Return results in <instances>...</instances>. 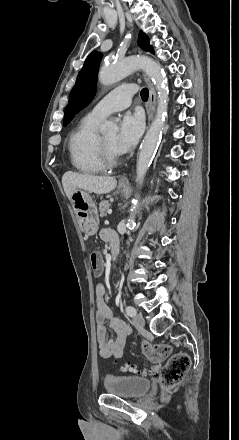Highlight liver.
Segmentation results:
<instances>
[{
    "label": "liver",
    "mask_w": 239,
    "mask_h": 440,
    "mask_svg": "<svg viewBox=\"0 0 239 440\" xmlns=\"http://www.w3.org/2000/svg\"><path fill=\"white\" fill-rule=\"evenodd\" d=\"M64 192L71 200L76 190H87L94 194H109L117 186L115 178L109 176H90V174H77V172H65L62 178Z\"/></svg>",
    "instance_id": "1"
}]
</instances>
